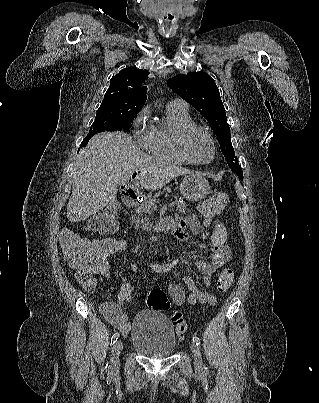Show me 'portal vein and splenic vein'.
<instances>
[{
    "mask_svg": "<svg viewBox=\"0 0 319 403\" xmlns=\"http://www.w3.org/2000/svg\"><path fill=\"white\" fill-rule=\"evenodd\" d=\"M150 204L156 210L157 206L152 202ZM169 206L170 207H175V206H177V202L172 201V202L169 203Z\"/></svg>",
    "mask_w": 319,
    "mask_h": 403,
    "instance_id": "1",
    "label": "portal vein and splenic vein"
}]
</instances>
